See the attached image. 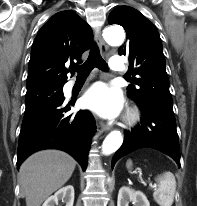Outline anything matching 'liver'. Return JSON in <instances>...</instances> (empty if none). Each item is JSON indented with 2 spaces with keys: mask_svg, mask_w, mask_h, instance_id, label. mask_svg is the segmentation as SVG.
Returning a JSON list of instances; mask_svg holds the SVG:
<instances>
[{
  "mask_svg": "<svg viewBox=\"0 0 197 206\" xmlns=\"http://www.w3.org/2000/svg\"><path fill=\"white\" fill-rule=\"evenodd\" d=\"M75 160L65 152L44 150L28 157L20 167L19 181L26 206L41 204L71 177Z\"/></svg>",
  "mask_w": 197,
  "mask_h": 206,
  "instance_id": "liver-1",
  "label": "liver"
}]
</instances>
